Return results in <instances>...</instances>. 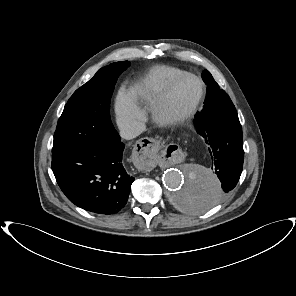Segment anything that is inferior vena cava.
Segmentation results:
<instances>
[{
	"label": "inferior vena cava",
	"mask_w": 296,
	"mask_h": 296,
	"mask_svg": "<svg viewBox=\"0 0 296 296\" xmlns=\"http://www.w3.org/2000/svg\"><path fill=\"white\" fill-rule=\"evenodd\" d=\"M144 129V124L140 122H132L120 129V136L123 139L130 140L140 135L144 131Z\"/></svg>",
	"instance_id": "obj_1"
}]
</instances>
